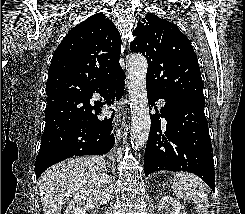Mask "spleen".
<instances>
[{
	"instance_id": "obj_1",
	"label": "spleen",
	"mask_w": 245,
	"mask_h": 214,
	"mask_svg": "<svg viewBox=\"0 0 245 214\" xmlns=\"http://www.w3.org/2000/svg\"><path fill=\"white\" fill-rule=\"evenodd\" d=\"M172 189L178 197L191 199L199 214H208V195L203 182L197 176L183 172L174 174Z\"/></svg>"
}]
</instances>
